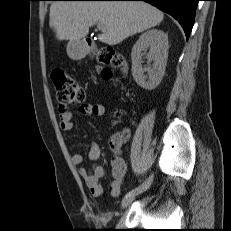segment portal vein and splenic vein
<instances>
[{"instance_id":"1","label":"portal vein and splenic vein","mask_w":231,"mask_h":231,"mask_svg":"<svg viewBox=\"0 0 231 231\" xmlns=\"http://www.w3.org/2000/svg\"><path fill=\"white\" fill-rule=\"evenodd\" d=\"M97 27H98L101 31H103V30H104L103 25H102V24H100V23H98Z\"/></svg>"}]
</instances>
